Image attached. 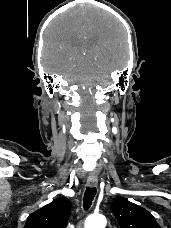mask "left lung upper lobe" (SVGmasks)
I'll return each mask as SVG.
<instances>
[{
	"instance_id": "obj_1",
	"label": "left lung upper lobe",
	"mask_w": 171,
	"mask_h": 228,
	"mask_svg": "<svg viewBox=\"0 0 171 228\" xmlns=\"http://www.w3.org/2000/svg\"><path fill=\"white\" fill-rule=\"evenodd\" d=\"M111 211L121 228H161L150 212L124 197L114 199Z\"/></svg>"
}]
</instances>
